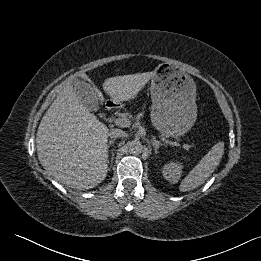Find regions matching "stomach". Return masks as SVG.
Wrapping results in <instances>:
<instances>
[{
  "label": "stomach",
  "mask_w": 261,
  "mask_h": 261,
  "mask_svg": "<svg viewBox=\"0 0 261 261\" xmlns=\"http://www.w3.org/2000/svg\"><path fill=\"white\" fill-rule=\"evenodd\" d=\"M151 122L166 137L178 138L193 126L196 85L187 73L161 64L151 78Z\"/></svg>",
  "instance_id": "1"
}]
</instances>
